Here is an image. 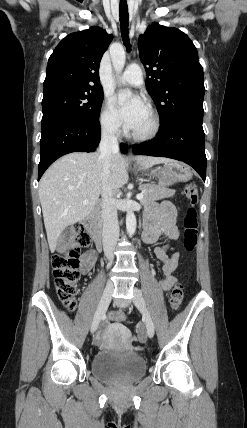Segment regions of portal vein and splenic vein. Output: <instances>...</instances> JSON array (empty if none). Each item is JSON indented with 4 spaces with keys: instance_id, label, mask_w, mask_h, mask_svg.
I'll use <instances>...</instances> for the list:
<instances>
[{
    "instance_id": "portal-vein-and-splenic-vein-1",
    "label": "portal vein and splenic vein",
    "mask_w": 247,
    "mask_h": 428,
    "mask_svg": "<svg viewBox=\"0 0 247 428\" xmlns=\"http://www.w3.org/2000/svg\"><path fill=\"white\" fill-rule=\"evenodd\" d=\"M143 197H144V195H143V193H139V194H137L136 195V198H137V200H142L143 199ZM83 204H88V200L87 199H85L84 201H83Z\"/></svg>"
}]
</instances>
